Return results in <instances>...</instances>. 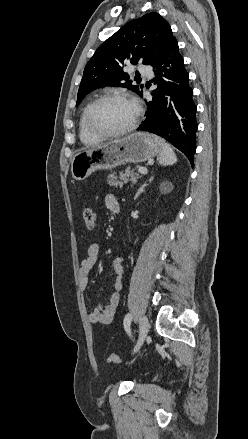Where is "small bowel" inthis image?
I'll return each instance as SVG.
<instances>
[{
	"label": "small bowel",
	"instance_id": "small-bowel-1",
	"mask_svg": "<svg viewBox=\"0 0 248 439\" xmlns=\"http://www.w3.org/2000/svg\"><path fill=\"white\" fill-rule=\"evenodd\" d=\"M106 207L111 212L119 210V202L115 195L109 194L105 198ZM100 246L98 243L89 245L86 256L81 262L78 277L79 286L85 291L89 284V274L98 260ZM110 268L116 276L114 282V291L110 294L107 301L99 303L95 306L88 315L89 321L93 324L107 325L112 322L119 304L120 291L122 289L123 276V258L116 257L111 260Z\"/></svg>",
	"mask_w": 248,
	"mask_h": 439
}]
</instances>
